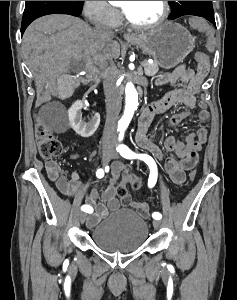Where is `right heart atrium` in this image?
I'll list each match as a JSON object with an SVG mask.
<instances>
[{"instance_id":"right-heart-atrium-1","label":"right heart atrium","mask_w":237,"mask_h":300,"mask_svg":"<svg viewBox=\"0 0 237 300\" xmlns=\"http://www.w3.org/2000/svg\"><path fill=\"white\" fill-rule=\"evenodd\" d=\"M83 11L88 21L95 26L117 28L121 23L119 11L107 1H84Z\"/></svg>"}]
</instances>
